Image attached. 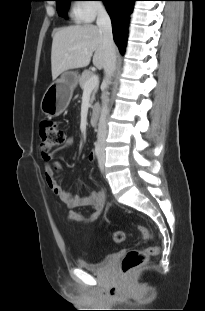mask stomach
Here are the masks:
<instances>
[{"mask_svg":"<svg viewBox=\"0 0 205 311\" xmlns=\"http://www.w3.org/2000/svg\"><path fill=\"white\" fill-rule=\"evenodd\" d=\"M78 78L76 72H66L53 82L42 97L40 103L42 113L50 117L60 115L71 100Z\"/></svg>","mask_w":205,"mask_h":311,"instance_id":"obj_1","label":"stomach"}]
</instances>
